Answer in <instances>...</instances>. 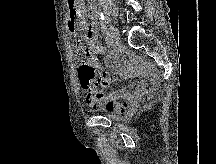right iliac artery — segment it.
Instances as JSON below:
<instances>
[{
  "instance_id": "1",
  "label": "right iliac artery",
  "mask_w": 216,
  "mask_h": 164,
  "mask_svg": "<svg viewBox=\"0 0 216 164\" xmlns=\"http://www.w3.org/2000/svg\"><path fill=\"white\" fill-rule=\"evenodd\" d=\"M105 39H106V44H107L108 48H113L114 43H113L112 39L110 38L109 34H107Z\"/></svg>"
}]
</instances>
